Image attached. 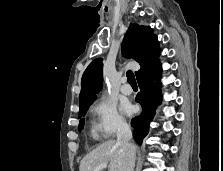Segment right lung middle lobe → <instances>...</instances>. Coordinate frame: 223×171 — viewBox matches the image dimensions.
<instances>
[{
    "mask_svg": "<svg viewBox=\"0 0 223 171\" xmlns=\"http://www.w3.org/2000/svg\"><path fill=\"white\" fill-rule=\"evenodd\" d=\"M90 105L91 104L80 107V109H79V118H81L80 121H79V126H78L79 131H81L83 126H84V118L83 117L85 116V114H86L88 108L90 107Z\"/></svg>",
    "mask_w": 223,
    "mask_h": 171,
    "instance_id": "1",
    "label": "right lung middle lobe"
}]
</instances>
